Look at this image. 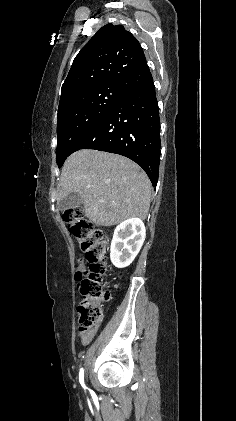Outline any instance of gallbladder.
I'll return each mask as SVG.
<instances>
[{
    "mask_svg": "<svg viewBox=\"0 0 236 421\" xmlns=\"http://www.w3.org/2000/svg\"><path fill=\"white\" fill-rule=\"evenodd\" d=\"M80 204H83L81 194L79 192H69L67 196L59 200L57 206L59 211H68V208H77Z\"/></svg>",
    "mask_w": 236,
    "mask_h": 421,
    "instance_id": "gallbladder-1",
    "label": "gallbladder"
}]
</instances>
